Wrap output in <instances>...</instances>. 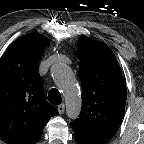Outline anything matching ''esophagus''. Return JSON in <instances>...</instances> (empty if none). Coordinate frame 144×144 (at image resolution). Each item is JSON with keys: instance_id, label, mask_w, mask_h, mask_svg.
<instances>
[{"instance_id": "34e87169", "label": "esophagus", "mask_w": 144, "mask_h": 144, "mask_svg": "<svg viewBox=\"0 0 144 144\" xmlns=\"http://www.w3.org/2000/svg\"><path fill=\"white\" fill-rule=\"evenodd\" d=\"M64 110H65V104H60L58 106V112H59V114H63Z\"/></svg>"}]
</instances>
